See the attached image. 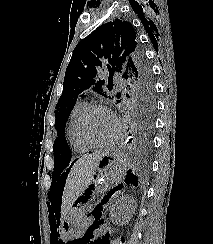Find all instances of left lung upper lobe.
<instances>
[{
    "label": "left lung upper lobe",
    "mask_w": 213,
    "mask_h": 244,
    "mask_svg": "<svg viewBox=\"0 0 213 244\" xmlns=\"http://www.w3.org/2000/svg\"><path fill=\"white\" fill-rule=\"evenodd\" d=\"M108 74V90L113 88L114 74L123 80L129 98V110L154 116L153 78L136 41L134 28L129 22L120 19L101 25L75 47L66 69L63 92L55 107L58 138L54 142V154L59 156L57 160L61 164L63 158L70 154L64 132L77 96L92 89L109 99L121 97L120 93L111 96L104 91V77Z\"/></svg>",
    "instance_id": "obj_1"
}]
</instances>
